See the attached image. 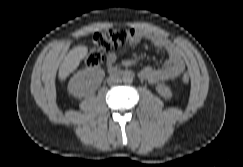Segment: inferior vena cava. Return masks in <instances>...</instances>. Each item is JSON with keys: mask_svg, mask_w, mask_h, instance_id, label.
Wrapping results in <instances>:
<instances>
[{"mask_svg": "<svg viewBox=\"0 0 243 167\" xmlns=\"http://www.w3.org/2000/svg\"><path fill=\"white\" fill-rule=\"evenodd\" d=\"M109 85H115L121 82V78L119 76H110L107 80Z\"/></svg>", "mask_w": 243, "mask_h": 167, "instance_id": "602c4592", "label": "inferior vena cava"}]
</instances>
